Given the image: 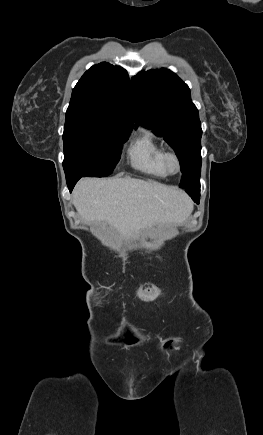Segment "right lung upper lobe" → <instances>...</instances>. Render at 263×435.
<instances>
[{
    "instance_id": "1",
    "label": "right lung upper lobe",
    "mask_w": 263,
    "mask_h": 435,
    "mask_svg": "<svg viewBox=\"0 0 263 435\" xmlns=\"http://www.w3.org/2000/svg\"><path fill=\"white\" fill-rule=\"evenodd\" d=\"M73 113L132 130L136 112L126 70L106 62L92 66L72 91L66 115Z\"/></svg>"
}]
</instances>
